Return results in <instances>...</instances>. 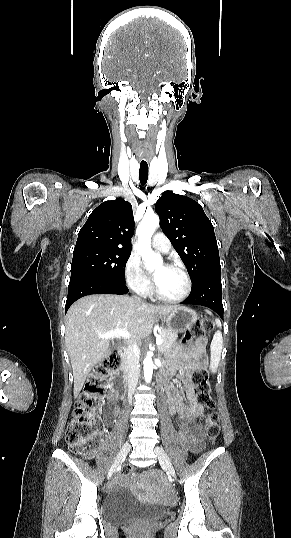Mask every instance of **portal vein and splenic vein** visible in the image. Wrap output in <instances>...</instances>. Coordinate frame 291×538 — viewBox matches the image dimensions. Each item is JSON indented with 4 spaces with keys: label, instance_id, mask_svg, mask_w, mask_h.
Wrapping results in <instances>:
<instances>
[{
    "label": "portal vein and splenic vein",
    "instance_id": "portal-vein-and-splenic-vein-1",
    "mask_svg": "<svg viewBox=\"0 0 291 538\" xmlns=\"http://www.w3.org/2000/svg\"><path fill=\"white\" fill-rule=\"evenodd\" d=\"M99 336L101 338H105V339H111V338H116V337H122V338H130L131 335L125 330V329H114V330H111L109 332H106V333H101L99 334ZM163 343V338L161 336V334H158L156 336V344L158 346L162 345Z\"/></svg>",
    "mask_w": 291,
    "mask_h": 538
}]
</instances>
